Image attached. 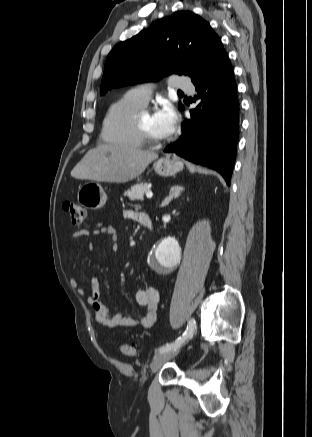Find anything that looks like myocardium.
<instances>
[{"label":"myocardium","instance_id":"1","mask_svg":"<svg viewBox=\"0 0 312 437\" xmlns=\"http://www.w3.org/2000/svg\"><path fill=\"white\" fill-rule=\"evenodd\" d=\"M150 113V110L147 107H142L140 110L136 112L133 118L134 128L137 132L140 140L143 144L146 145H163L168 142V139L157 140L153 138L142 126L140 118L143 114Z\"/></svg>","mask_w":312,"mask_h":437}]
</instances>
